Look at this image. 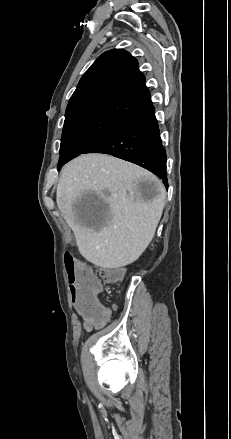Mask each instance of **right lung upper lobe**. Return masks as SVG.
Masks as SVG:
<instances>
[{"mask_svg":"<svg viewBox=\"0 0 231 439\" xmlns=\"http://www.w3.org/2000/svg\"><path fill=\"white\" fill-rule=\"evenodd\" d=\"M144 82L133 56L121 49L106 51L81 78L65 117L102 113L125 118L151 101Z\"/></svg>","mask_w":231,"mask_h":439,"instance_id":"right-lung-upper-lobe-1","label":"right lung upper lobe"}]
</instances>
